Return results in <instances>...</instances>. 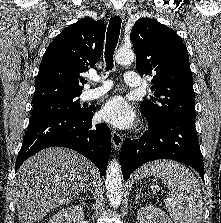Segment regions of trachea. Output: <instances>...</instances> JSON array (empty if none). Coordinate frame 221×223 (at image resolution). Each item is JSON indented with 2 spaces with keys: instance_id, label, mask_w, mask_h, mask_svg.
<instances>
[{
  "instance_id": "obj_1",
  "label": "trachea",
  "mask_w": 221,
  "mask_h": 223,
  "mask_svg": "<svg viewBox=\"0 0 221 223\" xmlns=\"http://www.w3.org/2000/svg\"><path fill=\"white\" fill-rule=\"evenodd\" d=\"M122 19L118 16L112 17L109 21L106 33V46H105V62L106 70L113 68V54L118 43Z\"/></svg>"
}]
</instances>
